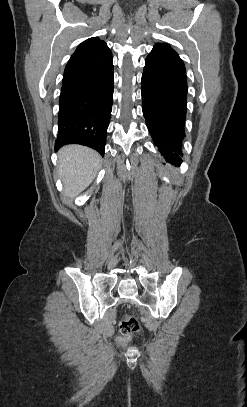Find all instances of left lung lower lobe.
I'll return each mask as SVG.
<instances>
[{
  "mask_svg": "<svg viewBox=\"0 0 247 407\" xmlns=\"http://www.w3.org/2000/svg\"><path fill=\"white\" fill-rule=\"evenodd\" d=\"M187 77L181 58L153 49L142 74V107L155 146L170 163L181 162Z\"/></svg>",
  "mask_w": 247,
  "mask_h": 407,
  "instance_id": "left-lung-lower-lobe-1",
  "label": "left lung lower lobe"
}]
</instances>
